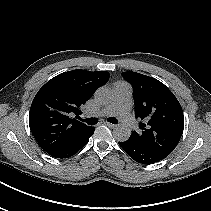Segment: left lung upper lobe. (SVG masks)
Here are the masks:
<instances>
[{"instance_id":"5c2ea615","label":"left lung upper lobe","mask_w":211,"mask_h":211,"mask_svg":"<svg viewBox=\"0 0 211 211\" xmlns=\"http://www.w3.org/2000/svg\"><path fill=\"white\" fill-rule=\"evenodd\" d=\"M133 87L135 116L143 120L130 138L136 144L166 158L178 144L184 128L182 107L159 80L136 72H123Z\"/></svg>"}]
</instances>
